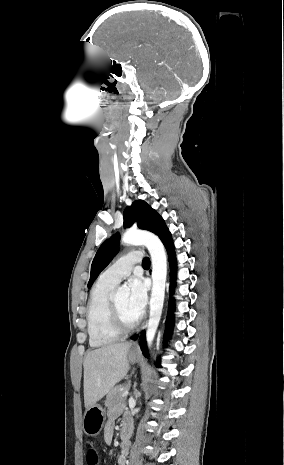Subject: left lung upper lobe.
Wrapping results in <instances>:
<instances>
[{
	"instance_id": "5c2ea615",
	"label": "left lung upper lobe",
	"mask_w": 284,
	"mask_h": 465,
	"mask_svg": "<svg viewBox=\"0 0 284 465\" xmlns=\"http://www.w3.org/2000/svg\"><path fill=\"white\" fill-rule=\"evenodd\" d=\"M124 227H130L135 221L138 227L159 236L162 242L170 234L161 216L143 200H136L124 210ZM120 235L114 234L98 249L91 266L88 287H91L100 272L110 263L118 252Z\"/></svg>"
}]
</instances>
